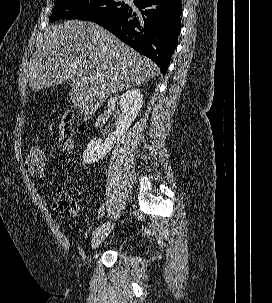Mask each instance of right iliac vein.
<instances>
[{"label": "right iliac vein", "mask_w": 272, "mask_h": 303, "mask_svg": "<svg viewBox=\"0 0 272 303\" xmlns=\"http://www.w3.org/2000/svg\"><path fill=\"white\" fill-rule=\"evenodd\" d=\"M114 223H109L105 229L101 230L97 234H95L91 241V248L92 250H96L99 245L102 243V241L105 239V237L111 232V230L114 228Z\"/></svg>", "instance_id": "right-iliac-vein-1"}]
</instances>
